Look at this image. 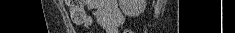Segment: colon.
<instances>
[{
    "label": "colon",
    "instance_id": "colon-1",
    "mask_svg": "<svg viewBox=\"0 0 235 33\" xmlns=\"http://www.w3.org/2000/svg\"><path fill=\"white\" fill-rule=\"evenodd\" d=\"M65 3L71 8V18L73 22L82 24L86 17L83 7L88 3V0H65Z\"/></svg>",
    "mask_w": 235,
    "mask_h": 33
}]
</instances>
